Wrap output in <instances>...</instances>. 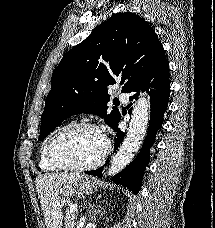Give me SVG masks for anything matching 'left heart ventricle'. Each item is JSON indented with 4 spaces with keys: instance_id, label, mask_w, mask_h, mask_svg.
I'll use <instances>...</instances> for the list:
<instances>
[{
    "instance_id": "1",
    "label": "left heart ventricle",
    "mask_w": 215,
    "mask_h": 228,
    "mask_svg": "<svg viewBox=\"0 0 215 228\" xmlns=\"http://www.w3.org/2000/svg\"><path fill=\"white\" fill-rule=\"evenodd\" d=\"M105 147L103 134L92 129H75L57 142L56 159L63 164L82 166L97 160Z\"/></svg>"
}]
</instances>
